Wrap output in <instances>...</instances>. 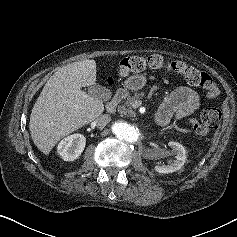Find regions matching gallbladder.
I'll use <instances>...</instances> for the list:
<instances>
[{
  "mask_svg": "<svg viewBox=\"0 0 237 237\" xmlns=\"http://www.w3.org/2000/svg\"><path fill=\"white\" fill-rule=\"evenodd\" d=\"M88 92L98 97L101 100L107 101L111 98V92L110 90L106 89L105 87L99 86V85H93L88 88Z\"/></svg>",
  "mask_w": 237,
  "mask_h": 237,
  "instance_id": "bac80fb5",
  "label": "gallbladder"
}]
</instances>
